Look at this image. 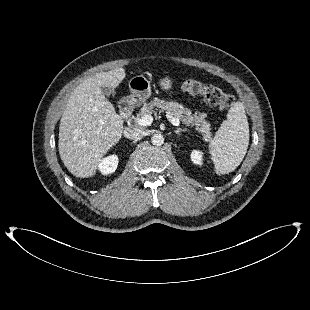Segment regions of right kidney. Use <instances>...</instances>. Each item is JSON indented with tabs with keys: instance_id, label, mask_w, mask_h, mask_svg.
I'll return each instance as SVG.
<instances>
[{
	"instance_id": "right-kidney-1",
	"label": "right kidney",
	"mask_w": 310,
	"mask_h": 310,
	"mask_svg": "<svg viewBox=\"0 0 310 310\" xmlns=\"http://www.w3.org/2000/svg\"><path fill=\"white\" fill-rule=\"evenodd\" d=\"M117 165L118 157L116 155H111L99 162L98 169L103 175H108L115 172Z\"/></svg>"
}]
</instances>
